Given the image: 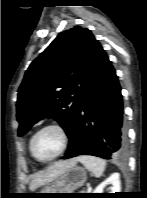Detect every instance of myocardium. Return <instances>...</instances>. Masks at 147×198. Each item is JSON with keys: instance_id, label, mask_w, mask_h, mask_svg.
Instances as JSON below:
<instances>
[{"instance_id": "obj_1", "label": "myocardium", "mask_w": 147, "mask_h": 198, "mask_svg": "<svg viewBox=\"0 0 147 198\" xmlns=\"http://www.w3.org/2000/svg\"><path fill=\"white\" fill-rule=\"evenodd\" d=\"M47 129L56 130L61 136L62 143H61V147H60L59 151L56 154H54L50 158L41 159V158L37 157L36 154L34 153L33 143H34L36 136L39 133H41L42 131L47 130ZM68 143H69V135H68V132L65 129V127L59 123H49V124H46V125L40 127L38 130H36L34 132V134L32 135V137L30 139L29 149H30V153L34 159H36L39 162L46 163V162H51V161L55 160L56 158H58L59 156H61L64 153V151L66 150Z\"/></svg>"}]
</instances>
